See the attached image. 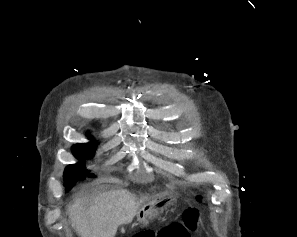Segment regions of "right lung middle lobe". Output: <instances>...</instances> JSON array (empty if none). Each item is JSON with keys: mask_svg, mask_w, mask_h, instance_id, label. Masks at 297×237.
<instances>
[{"mask_svg": "<svg viewBox=\"0 0 297 237\" xmlns=\"http://www.w3.org/2000/svg\"><path fill=\"white\" fill-rule=\"evenodd\" d=\"M95 150L96 145L94 144V141H92V143L76 144L72 147L73 155L79 159L92 157ZM87 173L88 172L84 166L79 163L66 167L64 176L67 190H69L78 180L83 179ZM88 176L94 177L93 174H88Z\"/></svg>", "mask_w": 297, "mask_h": 237, "instance_id": "dd1d6c3e", "label": "right lung middle lobe"}]
</instances>
